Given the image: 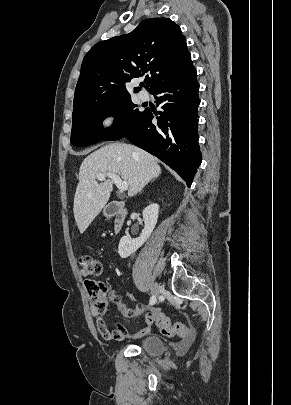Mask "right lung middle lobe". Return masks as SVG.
<instances>
[{
  "instance_id": "right-lung-middle-lobe-1",
  "label": "right lung middle lobe",
  "mask_w": 291,
  "mask_h": 405,
  "mask_svg": "<svg viewBox=\"0 0 291 405\" xmlns=\"http://www.w3.org/2000/svg\"><path fill=\"white\" fill-rule=\"evenodd\" d=\"M130 96L87 106L72 115L71 143L88 146L99 141L123 138L143 117L145 111L136 109ZM110 115L117 119L110 129H104L102 121Z\"/></svg>"
}]
</instances>
